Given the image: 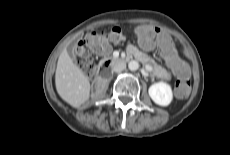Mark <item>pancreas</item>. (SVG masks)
<instances>
[{"label":"pancreas","instance_id":"1","mask_svg":"<svg viewBox=\"0 0 230 155\" xmlns=\"http://www.w3.org/2000/svg\"><path fill=\"white\" fill-rule=\"evenodd\" d=\"M132 54L137 59L138 58H142V61L144 63H151L152 64L153 73L158 78H162V79H165V80H170L171 79V75H170V73L166 69H164L163 67H161L160 65H158L157 63H155L154 60H152L151 58H149L146 55H144L143 53H141L138 49H135Z\"/></svg>","mask_w":230,"mask_h":155}]
</instances>
